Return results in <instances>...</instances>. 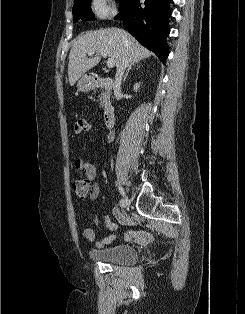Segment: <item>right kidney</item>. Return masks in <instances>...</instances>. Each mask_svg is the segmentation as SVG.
Here are the masks:
<instances>
[{"mask_svg":"<svg viewBox=\"0 0 245 314\" xmlns=\"http://www.w3.org/2000/svg\"><path fill=\"white\" fill-rule=\"evenodd\" d=\"M139 87H140V83H136V84L134 85L133 90H134L135 92H137V90H138Z\"/></svg>","mask_w":245,"mask_h":314,"instance_id":"obj_1","label":"right kidney"}]
</instances>
